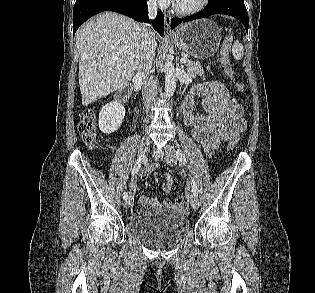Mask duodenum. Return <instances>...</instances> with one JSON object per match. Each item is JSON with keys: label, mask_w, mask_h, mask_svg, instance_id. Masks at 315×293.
Returning a JSON list of instances; mask_svg holds the SVG:
<instances>
[{"label": "duodenum", "mask_w": 315, "mask_h": 293, "mask_svg": "<svg viewBox=\"0 0 315 293\" xmlns=\"http://www.w3.org/2000/svg\"><path fill=\"white\" fill-rule=\"evenodd\" d=\"M130 95V89L129 88H122L120 89L116 95H115V100L118 102V103H125L128 99Z\"/></svg>", "instance_id": "duodenum-1"}]
</instances>
